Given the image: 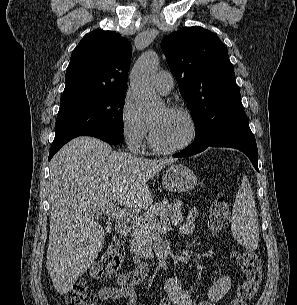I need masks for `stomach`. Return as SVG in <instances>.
<instances>
[{
  "instance_id": "0dacf381",
  "label": "stomach",
  "mask_w": 297,
  "mask_h": 305,
  "mask_svg": "<svg viewBox=\"0 0 297 305\" xmlns=\"http://www.w3.org/2000/svg\"><path fill=\"white\" fill-rule=\"evenodd\" d=\"M163 186L171 192H187L197 186V177L185 165L176 164L168 167L162 177Z\"/></svg>"
}]
</instances>
